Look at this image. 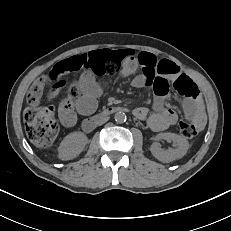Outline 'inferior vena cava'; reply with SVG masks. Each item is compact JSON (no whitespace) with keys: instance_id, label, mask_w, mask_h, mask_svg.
I'll return each instance as SVG.
<instances>
[{"instance_id":"inferior-vena-cava-1","label":"inferior vena cava","mask_w":231,"mask_h":231,"mask_svg":"<svg viewBox=\"0 0 231 231\" xmlns=\"http://www.w3.org/2000/svg\"><path fill=\"white\" fill-rule=\"evenodd\" d=\"M112 121V117L108 116L107 118H105L103 121L100 122L101 126H104L105 124H107L108 122Z\"/></svg>"}]
</instances>
